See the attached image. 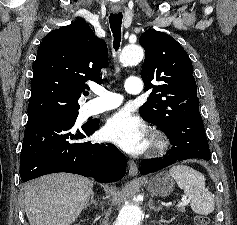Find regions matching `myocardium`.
Returning a JSON list of instances; mask_svg holds the SVG:
<instances>
[{
  "instance_id": "myocardium-1",
  "label": "myocardium",
  "mask_w": 237,
  "mask_h": 225,
  "mask_svg": "<svg viewBox=\"0 0 237 225\" xmlns=\"http://www.w3.org/2000/svg\"><path fill=\"white\" fill-rule=\"evenodd\" d=\"M169 148L167 137L159 130H153L150 134L148 152L152 156L164 154Z\"/></svg>"
}]
</instances>
